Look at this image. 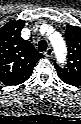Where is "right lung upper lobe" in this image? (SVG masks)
I'll return each instance as SVG.
<instances>
[{
    "label": "right lung upper lobe",
    "mask_w": 81,
    "mask_h": 124,
    "mask_svg": "<svg viewBox=\"0 0 81 124\" xmlns=\"http://www.w3.org/2000/svg\"><path fill=\"white\" fill-rule=\"evenodd\" d=\"M23 20H12L0 29V81L18 85L32 74L36 62L43 57L33 45L21 37Z\"/></svg>",
    "instance_id": "obj_1"
}]
</instances>
